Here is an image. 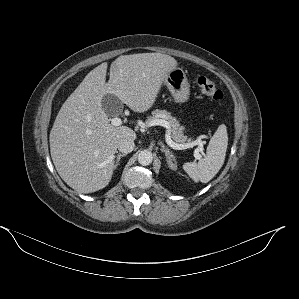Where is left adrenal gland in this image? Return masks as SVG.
Returning <instances> with one entry per match:
<instances>
[{
	"mask_svg": "<svg viewBox=\"0 0 299 299\" xmlns=\"http://www.w3.org/2000/svg\"><path fill=\"white\" fill-rule=\"evenodd\" d=\"M161 151L165 153L166 161H167V164L169 165V167L172 170H175L176 165L173 163V161H175V157H174L173 153L169 149L165 148L164 146H162Z\"/></svg>",
	"mask_w": 299,
	"mask_h": 299,
	"instance_id": "obj_1",
	"label": "left adrenal gland"
}]
</instances>
